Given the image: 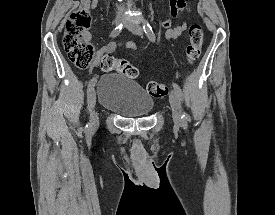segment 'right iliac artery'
<instances>
[{"label":"right iliac artery","mask_w":275,"mask_h":215,"mask_svg":"<svg viewBox=\"0 0 275 215\" xmlns=\"http://www.w3.org/2000/svg\"><path fill=\"white\" fill-rule=\"evenodd\" d=\"M123 29V24H119L112 32H111V37H116L120 34V32ZM96 83V78H92L88 84V88H87V95H89L90 91L92 90V88L95 86ZM86 128H89L88 125H86Z\"/></svg>","instance_id":"obj_1"}]
</instances>
